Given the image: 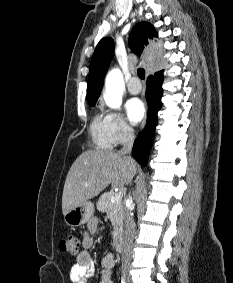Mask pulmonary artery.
<instances>
[{
  "mask_svg": "<svg viewBox=\"0 0 233 283\" xmlns=\"http://www.w3.org/2000/svg\"><path fill=\"white\" fill-rule=\"evenodd\" d=\"M127 89L131 94H138L140 93L142 86L137 77H132L127 83Z\"/></svg>",
  "mask_w": 233,
  "mask_h": 283,
  "instance_id": "pulmonary-artery-1",
  "label": "pulmonary artery"
}]
</instances>
